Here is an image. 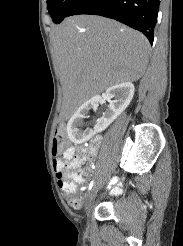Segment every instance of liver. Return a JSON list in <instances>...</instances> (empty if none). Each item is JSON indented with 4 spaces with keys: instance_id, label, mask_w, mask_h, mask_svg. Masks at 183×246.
Instances as JSON below:
<instances>
[{
    "instance_id": "liver-1",
    "label": "liver",
    "mask_w": 183,
    "mask_h": 246,
    "mask_svg": "<svg viewBox=\"0 0 183 246\" xmlns=\"http://www.w3.org/2000/svg\"><path fill=\"white\" fill-rule=\"evenodd\" d=\"M52 43L69 113L111 86L137 81L149 61L143 34L96 15L65 19L53 29Z\"/></svg>"
}]
</instances>
